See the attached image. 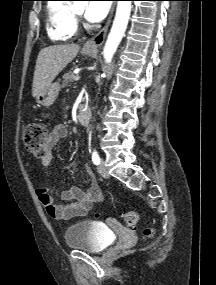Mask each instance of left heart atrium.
Here are the masks:
<instances>
[{
    "instance_id": "obj_1",
    "label": "left heart atrium",
    "mask_w": 216,
    "mask_h": 285,
    "mask_svg": "<svg viewBox=\"0 0 216 285\" xmlns=\"http://www.w3.org/2000/svg\"><path fill=\"white\" fill-rule=\"evenodd\" d=\"M109 8V1H91L85 8V17L91 22H99L105 18Z\"/></svg>"
}]
</instances>
